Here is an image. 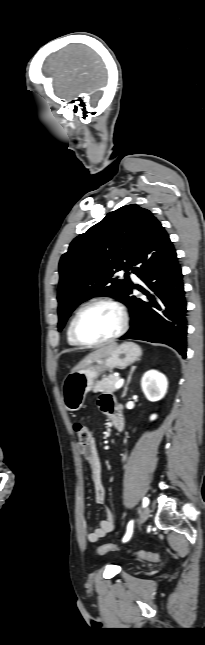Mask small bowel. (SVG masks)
Returning a JSON list of instances; mask_svg holds the SVG:
<instances>
[{
  "label": "small bowel",
  "instance_id": "small-bowel-1",
  "mask_svg": "<svg viewBox=\"0 0 205 645\" xmlns=\"http://www.w3.org/2000/svg\"><path fill=\"white\" fill-rule=\"evenodd\" d=\"M98 406L112 420L116 414H120L116 402L111 395H103L100 397ZM77 452L86 460L90 468L95 503L104 505L106 492L102 482V465L95 441H90L87 445L78 444ZM115 528L116 519L113 513L105 509V518L99 522L97 528L86 535V539L88 542L95 543L108 533L113 532Z\"/></svg>",
  "mask_w": 205,
  "mask_h": 645
}]
</instances>
